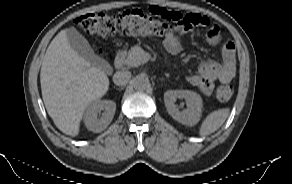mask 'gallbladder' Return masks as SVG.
Here are the masks:
<instances>
[{
  "label": "gallbladder",
  "instance_id": "bac80fb5",
  "mask_svg": "<svg viewBox=\"0 0 292 184\" xmlns=\"http://www.w3.org/2000/svg\"><path fill=\"white\" fill-rule=\"evenodd\" d=\"M66 36L71 48L81 57L90 62L91 65L105 71L109 67L108 63L95 54L89 42L74 27L66 30Z\"/></svg>",
  "mask_w": 292,
  "mask_h": 184
}]
</instances>
